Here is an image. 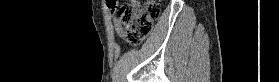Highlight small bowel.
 I'll return each instance as SVG.
<instances>
[{
    "mask_svg": "<svg viewBox=\"0 0 279 82\" xmlns=\"http://www.w3.org/2000/svg\"><path fill=\"white\" fill-rule=\"evenodd\" d=\"M117 6H118L117 1L107 3V7L111 10V13H112V21H113L115 33L119 38L123 39V38H125V30L121 26V24L119 23L116 15H115V10H116Z\"/></svg>",
    "mask_w": 279,
    "mask_h": 82,
    "instance_id": "1",
    "label": "small bowel"
}]
</instances>
